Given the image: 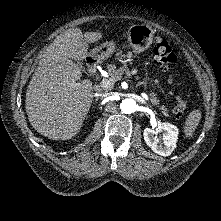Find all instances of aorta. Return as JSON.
<instances>
[{"instance_id": "762f6f07", "label": "aorta", "mask_w": 221, "mask_h": 221, "mask_svg": "<svg viewBox=\"0 0 221 221\" xmlns=\"http://www.w3.org/2000/svg\"><path fill=\"white\" fill-rule=\"evenodd\" d=\"M136 107H137V104L135 100L131 98L122 100L120 104V109L125 114H132L133 112L136 111Z\"/></svg>"}]
</instances>
